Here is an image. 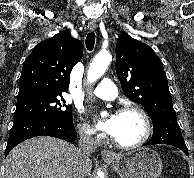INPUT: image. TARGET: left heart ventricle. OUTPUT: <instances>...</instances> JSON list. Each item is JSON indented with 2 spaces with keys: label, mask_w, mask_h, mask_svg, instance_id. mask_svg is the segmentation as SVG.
Masks as SVG:
<instances>
[{
  "label": "left heart ventricle",
  "mask_w": 194,
  "mask_h": 178,
  "mask_svg": "<svg viewBox=\"0 0 194 178\" xmlns=\"http://www.w3.org/2000/svg\"><path fill=\"white\" fill-rule=\"evenodd\" d=\"M144 133L142 118L134 112L117 114V125L112 135L121 143L130 144L139 140Z\"/></svg>",
  "instance_id": "left-heart-ventricle-1"
}]
</instances>
